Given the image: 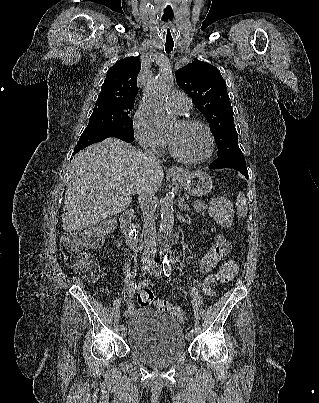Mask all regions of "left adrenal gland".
Segmentation results:
<instances>
[{
    "mask_svg": "<svg viewBox=\"0 0 319 403\" xmlns=\"http://www.w3.org/2000/svg\"><path fill=\"white\" fill-rule=\"evenodd\" d=\"M179 209H180V211H184V212L189 211V206L184 204V198H181L179 201Z\"/></svg>",
    "mask_w": 319,
    "mask_h": 403,
    "instance_id": "1",
    "label": "left adrenal gland"
}]
</instances>
